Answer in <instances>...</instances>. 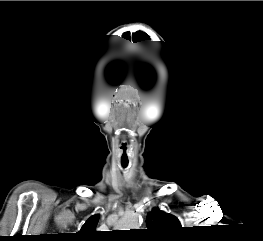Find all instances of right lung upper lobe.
Wrapping results in <instances>:
<instances>
[{"label": "right lung upper lobe", "instance_id": "1", "mask_svg": "<svg viewBox=\"0 0 263 241\" xmlns=\"http://www.w3.org/2000/svg\"><path fill=\"white\" fill-rule=\"evenodd\" d=\"M99 217V214L93 215L85 222L76 236L79 241H95L99 238L98 232L95 231Z\"/></svg>", "mask_w": 263, "mask_h": 241}]
</instances>
